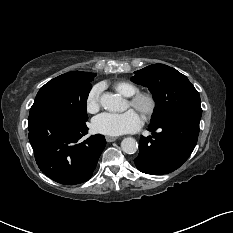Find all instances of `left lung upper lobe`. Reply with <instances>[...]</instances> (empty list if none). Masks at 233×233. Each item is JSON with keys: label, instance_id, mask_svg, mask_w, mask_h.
<instances>
[{"label": "left lung upper lobe", "instance_id": "5c2ea615", "mask_svg": "<svg viewBox=\"0 0 233 233\" xmlns=\"http://www.w3.org/2000/svg\"><path fill=\"white\" fill-rule=\"evenodd\" d=\"M134 83L148 87L156 102L152 122L177 113L202 114L200 96L187 77L164 64L134 72Z\"/></svg>", "mask_w": 233, "mask_h": 233}]
</instances>
